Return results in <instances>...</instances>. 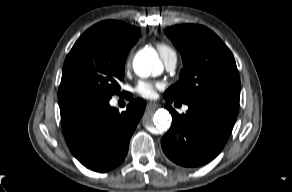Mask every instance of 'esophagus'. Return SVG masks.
<instances>
[{
    "label": "esophagus",
    "mask_w": 292,
    "mask_h": 192,
    "mask_svg": "<svg viewBox=\"0 0 292 192\" xmlns=\"http://www.w3.org/2000/svg\"><path fill=\"white\" fill-rule=\"evenodd\" d=\"M158 107V104L155 103V102H148L147 105H146V108L147 109H156Z\"/></svg>",
    "instance_id": "esophagus-1"
}]
</instances>
